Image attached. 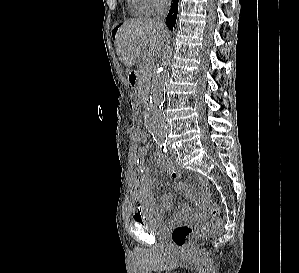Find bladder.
<instances>
[{"mask_svg": "<svg viewBox=\"0 0 299 273\" xmlns=\"http://www.w3.org/2000/svg\"><path fill=\"white\" fill-rule=\"evenodd\" d=\"M139 223L143 225L145 228L153 231L154 233L162 234L165 230L164 221L161 218L154 217L151 215L146 216Z\"/></svg>", "mask_w": 299, "mask_h": 273, "instance_id": "obj_1", "label": "bladder"}]
</instances>
